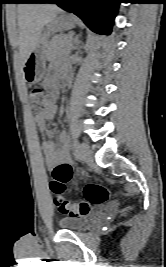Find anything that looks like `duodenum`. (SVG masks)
Segmentation results:
<instances>
[{
  "instance_id": "obj_1",
  "label": "duodenum",
  "mask_w": 166,
  "mask_h": 267,
  "mask_svg": "<svg viewBox=\"0 0 166 267\" xmlns=\"http://www.w3.org/2000/svg\"><path fill=\"white\" fill-rule=\"evenodd\" d=\"M65 80H66V81H69V80H70V75H69V74H66V75H65Z\"/></svg>"
}]
</instances>
